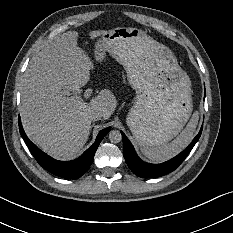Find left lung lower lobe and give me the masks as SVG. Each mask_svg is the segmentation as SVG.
I'll return each mask as SVG.
<instances>
[{
	"label": "left lung lower lobe",
	"instance_id": "obj_1",
	"mask_svg": "<svg viewBox=\"0 0 233 233\" xmlns=\"http://www.w3.org/2000/svg\"><path fill=\"white\" fill-rule=\"evenodd\" d=\"M203 126L201 127L197 136L193 139L190 145L177 156L169 161L161 164H150L143 162L136 154L131 142L126 135L121 131L123 140V155L128 167L133 173L142 178L160 177L174 171L187 157L193 146L196 144L201 136Z\"/></svg>",
	"mask_w": 233,
	"mask_h": 233
}]
</instances>
